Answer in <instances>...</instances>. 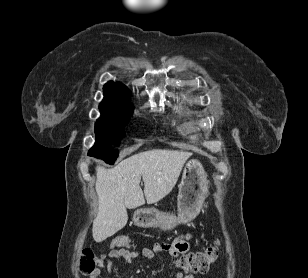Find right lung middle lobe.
<instances>
[{
  "instance_id": "right-lung-middle-lobe-1",
  "label": "right lung middle lobe",
  "mask_w": 308,
  "mask_h": 278,
  "mask_svg": "<svg viewBox=\"0 0 308 278\" xmlns=\"http://www.w3.org/2000/svg\"><path fill=\"white\" fill-rule=\"evenodd\" d=\"M126 121L98 120L95 124L96 142L89 150L88 155L101 158L113 164L118 156L117 150L109 148L111 144L119 145L124 136Z\"/></svg>"
}]
</instances>
